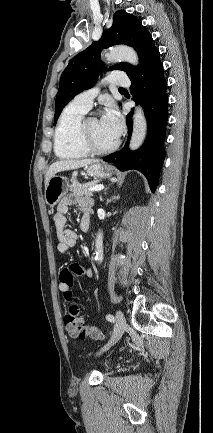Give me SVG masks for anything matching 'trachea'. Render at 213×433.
I'll use <instances>...</instances> for the list:
<instances>
[{
  "mask_svg": "<svg viewBox=\"0 0 213 433\" xmlns=\"http://www.w3.org/2000/svg\"><path fill=\"white\" fill-rule=\"evenodd\" d=\"M119 90H124V88H119Z\"/></svg>",
  "mask_w": 213,
  "mask_h": 433,
  "instance_id": "trachea-1",
  "label": "trachea"
}]
</instances>
